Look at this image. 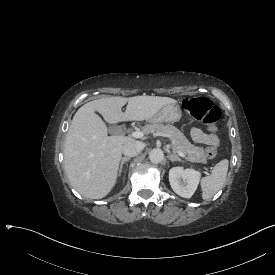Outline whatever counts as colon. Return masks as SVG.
<instances>
[{"instance_id":"5ec220e1","label":"colon","mask_w":275,"mask_h":275,"mask_svg":"<svg viewBox=\"0 0 275 275\" xmlns=\"http://www.w3.org/2000/svg\"><path fill=\"white\" fill-rule=\"evenodd\" d=\"M181 107L185 114L203 123L212 138H216V122L221 116V111L218 107L214 106L208 98L189 97L183 100ZM205 154L209 159L215 158L217 155L216 146L208 147Z\"/></svg>"}]
</instances>
